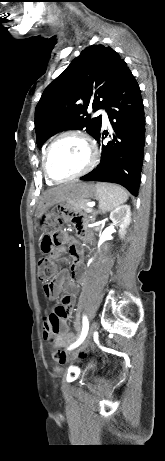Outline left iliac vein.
I'll list each match as a JSON object with an SVG mask.
<instances>
[{
	"mask_svg": "<svg viewBox=\"0 0 165 461\" xmlns=\"http://www.w3.org/2000/svg\"><path fill=\"white\" fill-rule=\"evenodd\" d=\"M97 322L96 321H93L92 324L90 325V328H89V332H88V338L87 340H85L83 342V344L79 347L78 350H76L75 352H73V356H77L79 354L80 351H82L84 348H86L88 342L90 341L91 337L93 336V334L95 333V331L97 330Z\"/></svg>",
	"mask_w": 165,
	"mask_h": 461,
	"instance_id": "1",
	"label": "left iliac vein"
}]
</instances>
